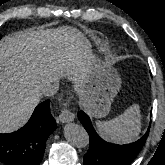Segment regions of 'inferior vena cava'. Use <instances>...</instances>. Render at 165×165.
<instances>
[{
    "mask_svg": "<svg viewBox=\"0 0 165 165\" xmlns=\"http://www.w3.org/2000/svg\"><path fill=\"white\" fill-rule=\"evenodd\" d=\"M58 91V84L51 83V82H45L41 86V94L47 97H51L55 95Z\"/></svg>",
    "mask_w": 165,
    "mask_h": 165,
    "instance_id": "obj_1",
    "label": "inferior vena cava"
}]
</instances>
